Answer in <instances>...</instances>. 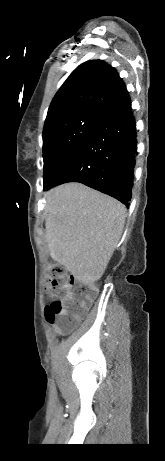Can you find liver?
<instances>
[{
  "mask_svg": "<svg viewBox=\"0 0 165 461\" xmlns=\"http://www.w3.org/2000/svg\"><path fill=\"white\" fill-rule=\"evenodd\" d=\"M46 242L50 256L85 284L98 281L121 238L126 209L81 183L46 194Z\"/></svg>",
  "mask_w": 165,
  "mask_h": 461,
  "instance_id": "1",
  "label": "liver"
}]
</instances>
